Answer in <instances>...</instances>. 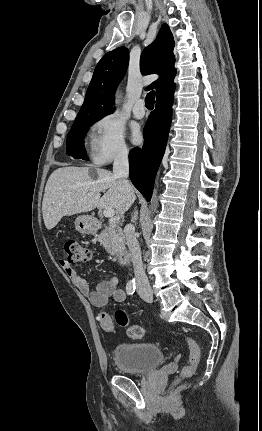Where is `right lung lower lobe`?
Masks as SVG:
<instances>
[{
	"label": "right lung lower lobe",
	"instance_id": "right-lung-lower-lobe-1",
	"mask_svg": "<svg viewBox=\"0 0 262 431\" xmlns=\"http://www.w3.org/2000/svg\"><path fill=\"white\" fill-rule=\"evenodd\" d=\"M174 90L167 91L156 100V108L144 127V145L133 148L129 154L130 179L149 201L154 179L165 152L172 117Z\"/></svg>",
	"mask_w": 262,
	"mask_h": 431
}]
</instances>
